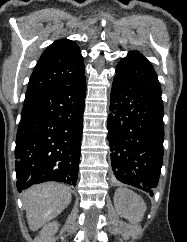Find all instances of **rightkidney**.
I'll return each instance as SVG.
<instances>
[{
	"instance_id": "ca27d5eb",
	"label": "right kidney",
	"mask_w": 187,
	"mask_h": 242,
	"mask_svg": "<svg viewBox=\"0 0 187 242\" xmlns=\"http://www.w3.org/2000/svg\"><path fill=\"white\" fill-rule=\"evenodd\" d=\"M59 224L51 222L43 227L40 232L39 242H50V238L57 232Z\"/></svg>"
}]
</instances>
